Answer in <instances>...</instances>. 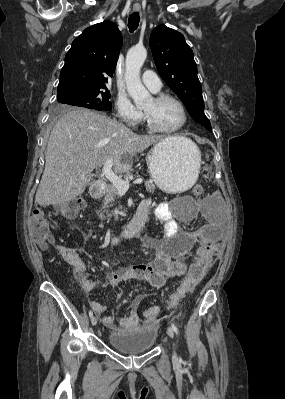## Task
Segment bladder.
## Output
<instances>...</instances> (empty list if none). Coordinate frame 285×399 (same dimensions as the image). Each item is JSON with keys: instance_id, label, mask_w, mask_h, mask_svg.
Returning a JSON list of instances; mask_svg holds the SVG:
<instances>
[{"instance_id": "31cf9c89", "label": "bladder", "mask_w": 285, "mask_h": 399, "mask_svg": "<svg viewBox=\"0 0 285 399\" xmlns=\"http://www.w3.org/2000/svg\"><path fill=\"white\" fill-rule=\"evenodd\" d=\"M181 200H192L184 196ZM157 336L153 326L136 327L130 330L113 332L107 337L108 344L118 352L126 356H136L148 352L155 344Z\"/></svg>"}]
</instances>
